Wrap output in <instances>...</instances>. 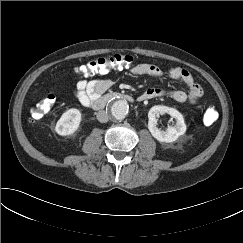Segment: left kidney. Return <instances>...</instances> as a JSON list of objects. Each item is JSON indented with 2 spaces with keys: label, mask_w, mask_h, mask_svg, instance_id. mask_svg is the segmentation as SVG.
<instances>
[{
  "label": "left kidney",
  "mask_w": 243,
  "mask_h": 243,
  "mask_svg": "<svg viewBox=\"0 0 243 243\" xmlns=\"http://www.w3.org/2000/svg\"><path fill=\"white\" fill-rule=\"evenodd\" d=\"M169 114L172 118L176 120L174 126H168L164 131L157 127L156 117L159 114ZM148 129L152 136L157 139L159 142H174L178 139L179 136L183 135L186 132V124L182 114L174 108L156 105L153 106L148 112Z\"/></svg>",
  "instance_id": "left-kidney-1"
}]
</instances>
